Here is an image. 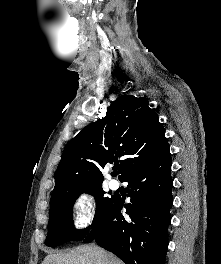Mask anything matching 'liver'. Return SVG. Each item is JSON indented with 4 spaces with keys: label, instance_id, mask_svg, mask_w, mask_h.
<instances>
[{
    "label": "liver",
    "instance_id": "obj_1",
    "mask_svg": "<svg viewBox=\"0 0 221 264\" xmlns=\"http://www.w3.org/2000/svg\"><path fill=\"white\" fill-rule=\"evenodd\" d=\"M42 264H124L115 255L91 245H81L67 253L48 254Z\"/></svg>",
    "mask_w": 221,
    "mask_h": 264
}]
</instances>
